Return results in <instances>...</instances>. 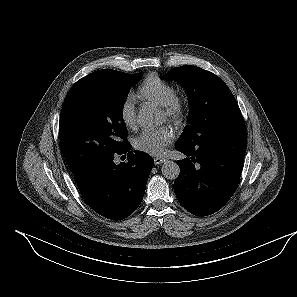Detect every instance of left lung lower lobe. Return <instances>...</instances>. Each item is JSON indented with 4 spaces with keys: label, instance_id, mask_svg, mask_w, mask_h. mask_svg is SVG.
<instances>
[{
    "label": "left lung lower lobe",
    "instance_id": "obj_1",
    "mask_svg": "<svg viewBox=\"0 0 297 297\" xmlns=\"http://www.w3.org/2000/svg\"><path fill=\"white\" fill-rule=\"evenodd\" d=\"M246 147L243 125L211 135L195 146L176 143V150L190 156L177 161L180 174L174 191L179 203L197 216L220 210L238 185Z\"/></svg>",
    "mask_w": 297,
    "mask_h": 297
}]
</instances>
